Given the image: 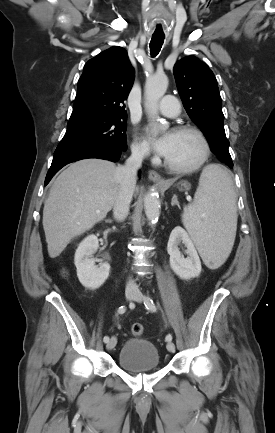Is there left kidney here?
Masks as SVG:
<instances>
[{"label": "left kidney", "mask_w": 275, "mask_h": 433, "mask_svg": "<svg viewBox=\"0 0 275 433\" xmlns=\"http://www.w3.org/2000/svg\"><path fill=\"white\" fill-rule=\"evenodd\" d=\"M180 243H183L187 248V258H184L179 250ZM167 251L170 255V266L180 278L187 280L199 276L201 272L200 258L192 240L182 227L177 226L172 230Z\"/></svg>", "instance_id": "obj_1"}]
</instances>
